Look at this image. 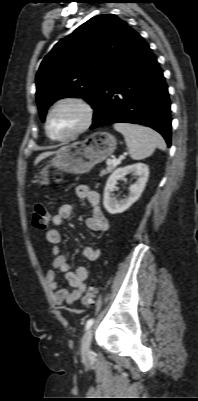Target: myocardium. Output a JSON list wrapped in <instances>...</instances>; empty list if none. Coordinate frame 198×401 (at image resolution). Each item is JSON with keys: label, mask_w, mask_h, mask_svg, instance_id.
<instances>
[{"label": "myocardium", "mask_w": 198, "mask_h": 401, "mask_svg": "<svg viewBox=\"0 0 198 401\" xmlns=\"http://www.w3.org/2000/svg\"><path fill=\"white\" fill-rule=\"evenodd\" d=\"M64 104H73V105H76L77 107H79L83 112L84 118H83L82 124L74 132H72L66 136L56 138V137H53L49 132V121H50V117H51L52 113L58 107H60ZM94 115H95L94 107L87 99H85L81 96H68V97L61 98L58 101H56L47 112V115L45 118L46 135L48 136V138H50L52 141H55V142H64V141L73 139V138L79 136L80 134L84 133L86 130H88L90 128V126L92 125L93 120H94Z\"/></svg>", "instance_id": "1"}]
</instances>
